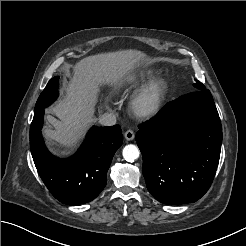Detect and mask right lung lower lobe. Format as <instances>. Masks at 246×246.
<instances>
[{
  "mask_svg": "<svg viewBox=\"0 0 246 246\" xmlns=\"http://www.w3.org/2000/svg\"><path fill=\"white\" fill-rule=\"evenodd\" d=\"M44 109L35 110L30 127V149L40 177L64 204L92 201L106 186L112 158L122 145L120 126L92 127L74 156L58 159L48 152L42 138Z\"/></svg>",
  "mask_w": 246,
  "mask_h": 246,
  "instance_id": "98d812e1",
  "label": "right lung lower lobe"
}]
</instances>
